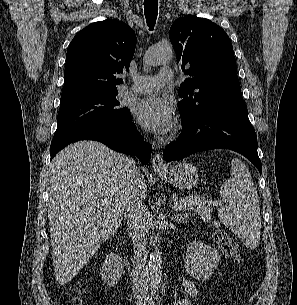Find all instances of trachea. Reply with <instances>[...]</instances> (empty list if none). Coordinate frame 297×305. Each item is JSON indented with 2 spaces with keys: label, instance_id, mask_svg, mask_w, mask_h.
<instances>
[{
  "label": "trachea",
  "instance_id": "3493384b",
  "mask_svg": "<svg viewBox=\"0 0 297 305\" xmlns=\"http://www.w3.org/2000/svg\"><path fill=\"white\" fill-rule=\"evenodd\" d=\"M144 13L150 30H153L158 15V0H144Z\"/></svg>",
  "mask_w": 297,
  "mask_h": 305
}]
</instances>
